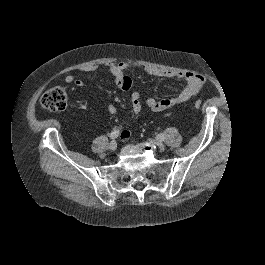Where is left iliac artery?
<instances>
[{
	"label": "left iliac artery",
	"mask_w": 265,
	"mask_h": 265,
	"mask_svg": "<svg viewBox=\"0 0 265 265\" xmlns=\"http://www.w3.org/2000/svg\"><path fill=\"white\" fill-rule=\"evenodd\" d=\"M156 138H157V140H159V141H163V140H164V134L160 133V134L157 135Z\"/></svg>",
	"instance_id": "obj_1"
}]
</instances>
